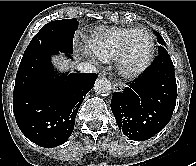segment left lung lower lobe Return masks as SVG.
Masks as SVG:
<instances>
[{"label": "left lung lower lobe", "instance_id": "left-lung-lower-lobe-1", "mask_svg": "<svg viewBox=\"0 0 196 166\" xmlns=\"http://www.w3.org/2000/svg\"><path fill=\"white\" fill-rule=\"evenodd\" d=\"M176 98L174 66L168 52L163 51L140 78L122 93L113 94L111 110L128 138L144 141L169 123Z\"/></svg>", "mask_w": 196, "mask_h": 166}]
</instances>
